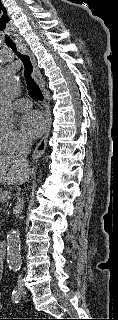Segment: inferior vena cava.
<instances>
[{
    "mask_svg": "<svg viewBox=\"0 0 118 320\" xmlns=\"http://www.w3.org/2000/svg\"><path fill=\"white\" fill-rule=\"evenodd\" d=\"M30 143L27 141H23L20 147V151L18 155L16 156L19 161H21L24 164H27V156L30 154ZM24 199L23 198H18L17 203H16V214H20L22 212V209L24 207ZM22 275L18 276V281L21 279Z\"/></svg>",
    "mask_w": 118,
    "mask_h": 320,
    "instance_id": "obj_1",
    "label": "inferior vena cava"
}]
</instances>
